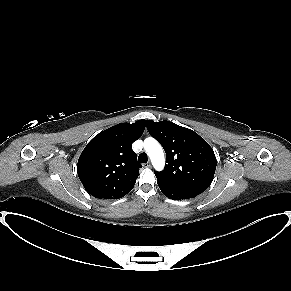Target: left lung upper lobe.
Here are the masks:
<instances>
[{
    "label": "left lung upper lobe",
    "mask_w": 291,
    "mask_h": 291,
    "mask_svg": "<svg viewBox=\"0 0 291 291\" xmlns=\"http://www.w3.org/2000/svg\"><path fill=\"white\" fill-rule=\"evenodd\" d=\"M146 125L166 152L167 165L155 173L157 180L196 196L205 191L216 170V157L210 145L196 132L170 121L147 120Z\"/></svg>",
    "instance_id": "5c2ea615"
}]
</instances>
